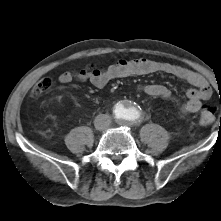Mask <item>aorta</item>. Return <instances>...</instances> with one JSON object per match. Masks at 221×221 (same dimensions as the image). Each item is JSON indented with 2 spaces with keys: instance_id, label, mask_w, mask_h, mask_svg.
<instances>
[{
  "instance_id": "762f6f07",
  "label": "aorta",
  "mask_w": 221,
  "mask_h": 221,
  "mask_svg": "<svg viewBox=\"0 0 221 221\" xmlns=\"http://www.w3.org/2000/svg\"><path fill=\"white\" fill-rule=\"evenodd\" d=\"M139 109L128 101L118 104L114 110L115 118L119 121H128L138 116Z\"/></svg>"
}]
</instances>
